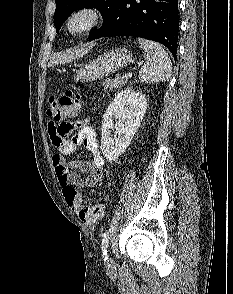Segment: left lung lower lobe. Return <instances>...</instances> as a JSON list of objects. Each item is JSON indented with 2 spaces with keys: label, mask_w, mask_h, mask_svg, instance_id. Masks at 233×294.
Returning <instances> with one entry per match:
<instances>
[{
  "label": "left lung lower lobe",
  "mask_w": 233,
  "mask_h": 294,
  "mask_svg": "<svg viewBox=\"0 0 233 294\" xmlns=\"http://www.w3.org/2000/svg\"><path fill=\"white\" fill-rule=\"evenodd\" d=\"M178 0H116L102 26L89 40L110 36H134L165 45L176 58Z\"/></svg>",
  "instance_id": "1"
}]
</instances>
